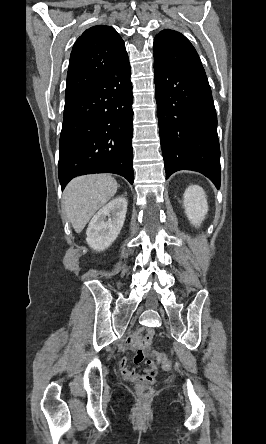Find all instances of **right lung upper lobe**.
Returning a JSON list of instances; mask_svg holds the SVG:
<instances>
[{"label": "right lung upper lobe", "mask_w": 266, "mask_h": 444, "mask_svg": "<svg viewBox=\"0 0 266 444\" xmlns=\"http://www.w3.org/2000/svg\"><path fill=\"white\" fill-rule=\"evenodd\" d=\"M127 58L124 41L113 27L87 29L71 52L65 102L91 88Z\"/></svg>", "instance_id": "right-lung-upper-lobe-1"}]
</instances>
